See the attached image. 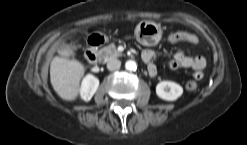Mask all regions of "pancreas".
<instances>
[{
	"label": "pancreas",
	"mask_w": 247,
	"mask_h": 145,
	"mask_svg": "<svg viewBox=\"0 0 247 145\" xmlns=\"http://www.w3.org/2000/svg\"><path fill=\"white\" fill-rule=\"evenodd\" d=\"M98 54L104 61H107L112 58H117L122 55L120 52H118L114 43H111L110 45L100 49L98 51Z\"/></svg>",
	"instance_id": "1"
}]
</instances>
